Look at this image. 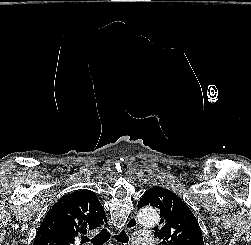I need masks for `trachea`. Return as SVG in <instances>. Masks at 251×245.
<instances>
[{"label": "trachea", "mask_w": 251, "mask_h": 245, "mask_svg": "<svg viewBox=\"0 0 251 245\" xmlns=\"http://www.w3.org/2000/svg\"><path fill=\"white\" fill-rule=\"evenodd\" d=\"M110 237L111 234L107 231L106 228H104L99 234L91 239V242L93 243V245H104V243H106ZM115 239L122 243H128L129 237L127 236L125 231H121L118 235H115ZM89 241V238L82 237L81 243H86Z\"/></svg>", "instance_id": "obj_1"}]
</instances>
